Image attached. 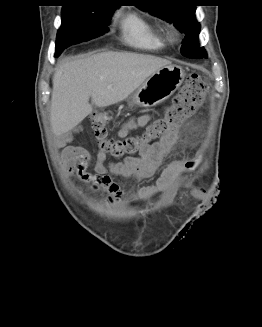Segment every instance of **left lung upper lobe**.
<instances>
[{"label":"left lung upper lobe","mask_w":262,"mask_h":327,"mask_svg":"<svg viewBox=\"0 0 262 327\" xmlns=\"http://www.w3.org/2000/svg\"><path fill=\"white\" fill-rule=\"evenodd\" d=\"M138 7L154 16L173 23L185 33L181 53L188 58H206V51L199 46L200 25L196 20V6L186 0H141Z\"/></svg>","instance_id":"1"}]
</instances>
